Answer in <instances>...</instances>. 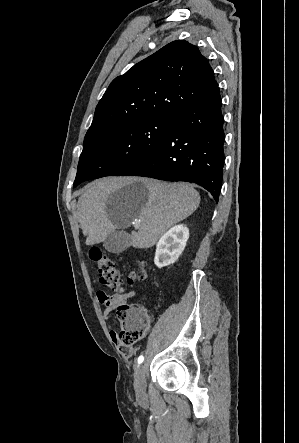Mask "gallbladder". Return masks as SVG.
Wrapping results in <instances>:
<instances>
[{
	"mask_svg": "<svg viewBox=\"0 0 299 443\" xmlns=\"http://www.w3.org/2000/svg\"><path fill=\"white\" fill-rule=\"evenodd\" d=\"M103 246L107 251L119 254L130 246V235L124 231H113L104 240Z\"/></svg>",
	"mask_w": 299,
	"mask_h": 443,
	"instance_id": "obj_1",
	"label": "gallbladder"
}]
</instances>
